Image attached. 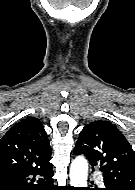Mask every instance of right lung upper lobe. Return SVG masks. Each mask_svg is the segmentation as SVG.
Instances as JSON below:
<instances>
[{
	"mask_svg": "<svg viewBox=\"0 0 135 190\" xmlns=\"http://www.w3.org/2000/svg\"><path fill=\"white\" fill-rule=\"evenodd\" d=\"M51 147L37 118L14 125L0 140V172L19 168H46L51 165Z\"/></svg>",
	"mask_w": 135,
	"mask_h": 190,
	"instance_id": "obj_1",
	"label": "right lung upper lobe"
}]
</instances>
